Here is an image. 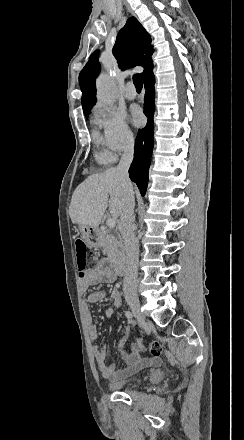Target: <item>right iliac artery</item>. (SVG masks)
Returning a JSON list of instances; mask_svg holds the SVG:
<instances>
[{"instance_id":"1","label":"right iliac artery","mask_w":244,"mask_h":440,"mask_svg":"<svg viewBox=\"0 0 244 440\" xmlns=\"http://www.w3.org/2000/svg\"><path fill=\"white\" fill-rule=\"evenodd\" d=\"M125 316H126L128 319H132L133 316H134V313H133L132 311H130V310H127V311L125 312Z\"/></svg>"}]
</instances>
